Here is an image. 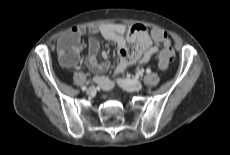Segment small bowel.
I'll use <instances>...</instances> for the list:
<instances>
[{"mask_svg":"<svg viewBox=\"0 0 230 155\" xmlns=\"http://www.w3.org/2000/svg\"><path fill=\"white\" fill-rule=\"evenodd\" d=\"M154 30L157 29H153L151 32H149L148 29L142 24H134L128 30H126L123 24L102 26L94 25L90 27L80 26L73 28L67 34L62 36L59 39V43L70 36H76L79 38V45L77 46L76 51H79L82 47L80 37L84 34H89V54L86 58V65L93 72H104L109 68L110 62L107 59L106 54H103L104 61L99 62L96 59V54L99 50V41L95 35L100 33L104 39L117 45V52L120 61L115 69V73L120 74L128 66L137 62L147 63L154 54L159 53V47L152 44V39L156 41L152 35ZM129 44L133 45L131 50L128 49ZM161 44L163 48L165 46L171 47V41L168 37ZM96 82L104 90H109L113 87L112 80L107 77H97Z\"/></svg>","mask_w":230,"mask_h":155,"instance_id":"obj_1","label":"small bowel"}]
</instances>
